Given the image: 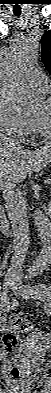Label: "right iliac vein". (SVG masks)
<instances>
[{"label": "right iliac vein", "mask_w": 51, "mask_h": 393, "mask_svg": "<svg viewBox=\"0 0 51 393\" xmlns=\"http://www.w3.org/2000/svg\"><path fill=\"white\" fill-rule=\"evenodd\" d=\"M15 284V277L12 274H7L4 278L3 292L7 293L8 289ZM2 308V307H1Z\"/></svg>", "instance_id": "right-iliac-vein-1"}]
</instances>
